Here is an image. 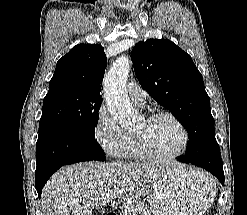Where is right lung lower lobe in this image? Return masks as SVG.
Segmentation results:
<instances>
[{"label":"right lung lower lobe","mask_w":247,"mask_h":215,"mask_svg":"<svg viewBox=\"0 0 247 215\" xmlns=\"http://www.w3.org/2000/svg\"><path fill=\"white\" fill-rule=\"evenodd\" d=\"M36 152L35 188L39 198L47 180L63 165L90 160H106L95 138L63 127L46 128L40 131Z\"/></svg>","instance_id":"obj_1"}]
</instances>
